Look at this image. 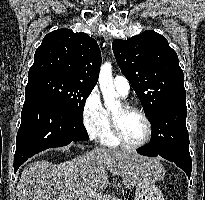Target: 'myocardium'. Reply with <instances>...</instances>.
<instances>
[{
	"label": "myocardium",
	"instance_id": "f54148a6",
	"mask_svg": "<svg viewBox=\"0 0 205 200\" xmlns=\"http://www.w3.org/2000/svg\"><path fill=\"white\" fill-rule=\"evenodd\" d=\"M121 109L123 113L135 112L142 116V118L144 119L146 123V127H147L146 136L143 139V141H141L140 143L132 144L128 142L122 133L119 118L115 116L113 113H111L110 114V125H111V130H112L114 137L121 145L127 148L138 149V148L145 146L150 141L152 137V132H153L152 123H151L150 118L148 117V115L146 114L144 110L130 103H127V102H124L121 104Z\"/></svg>",
	"mask_w": 205,
	"mask_h": 200
}]
</instances>
